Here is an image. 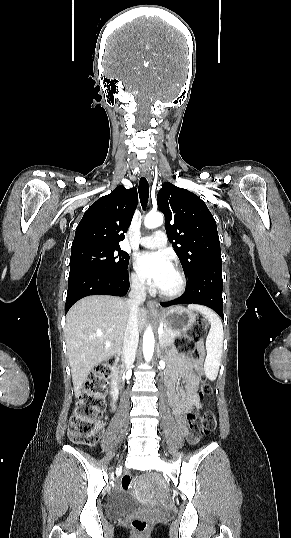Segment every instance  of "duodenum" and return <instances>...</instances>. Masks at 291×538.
<instances>
[{
	"instance_id": "duodenum-1",
	"label": "duodenum",
	"mask_w": 291,
	"mask_h": 538,
	"mask_svg": "<svg viewBox=\"0 0 291 538\" xmlns=\"http://www.w3.org/2000/svg\"><path fill=\"white\" fill-rule=\"evenodd\" d=\"M116 360H117V361H116V363H114V364L112 365V368H113L114 370H117V372H120V370L123 369V364H124L123 357H122L121 355H118V356L116 357ZM110 386H111L112 388H114V390L117 391V392L122 391L123 388H124V385H123V383L121 382V379H120L119 377H112V378L110 379Z\"/></svg>"
}]
</instances>
